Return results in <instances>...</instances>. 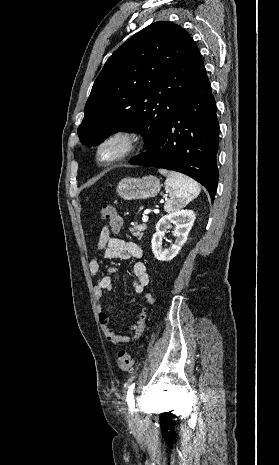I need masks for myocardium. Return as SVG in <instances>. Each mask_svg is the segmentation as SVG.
<instances>
[{"label":"myocardium","instance_id":"f54148a6","mask_svg":"<svg viewBox=\"0 0 279 465\" xmlns=\"http://www.w3.org/2000/svg\"><path fill=\"white\" fill-rule=\"evenodd\" d=\"M142 136L139 131L132 128H120L108 133L104 136L96 147V158L100 164L110 165L116 163L131 153H133L140 145ZM112 142L121 143L120 151L110 158H104L102 151L105 146Z\"/></svg>","mask_w":279,"mask_h":465}]
</instances>
